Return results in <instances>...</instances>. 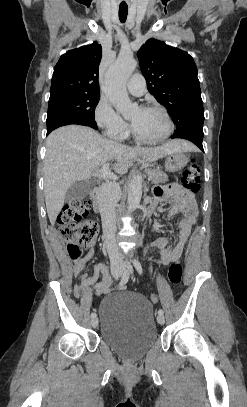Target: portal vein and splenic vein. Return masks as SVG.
<instances>
[{"instance_id":"portal-vein-and-splenic-vein-1","label":"portal vein and splenic vein","mask_w":247,"mask_h":407,"mask_svg":"<svg viewBox=\"0 0 247 407\" xmlns=\"http://www.w3.org/2000/svg\"><path fill=\"white\" fill-rule=\"evenodd\" d=\"M98 174L101 175L102 177L105 178H109V179H113V180H117L118 176L113 174L110 170H109V164L105 163L102 167V169L98 170ZM152 176L149 175L148 180H151Z\"/></svg>"}]
</instances>
